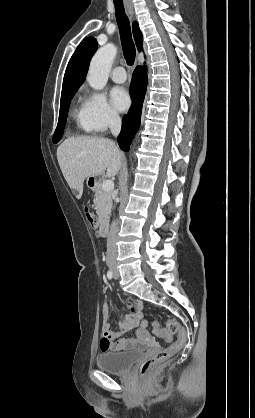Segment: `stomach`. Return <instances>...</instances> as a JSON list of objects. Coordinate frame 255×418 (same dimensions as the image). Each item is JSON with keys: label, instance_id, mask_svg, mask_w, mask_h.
<instances>
[{"label": "stomach", "instance_id": "obj_1", "mask_svg": "<svg viewBox=\"0 0 255 418\" xmlns=\"http://www.w3.org/2000/svg\"><path fill=\"white\" fill-rule=\"evenodd\" d=\"M87 185L91 188V189H95L96 186L98 185V179L96 176H89L87 178Z\"/></svg>", "mask_w": 255, "mask_h": 418}]
</instances>
